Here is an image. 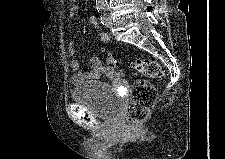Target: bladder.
Returning <instances> with one entry per match:
<instances>
[{
    "instance_id": "31cf9c89",
    "label": "bladder",
    "mask_w": 225,
    "mask_h": 159,
    "mask_svg": "<svg viewBox=\"0 0 225 159\" xmlns=\"http://www.w3.org/2000/svg\"><path fill=\"white\" fill-rule=\"evenodd\" d=\"M74 102L105 120L116 119L121 111V100L106 83L91 81L77 86L72 92Z\"/></svg>"
}]
</instances>
